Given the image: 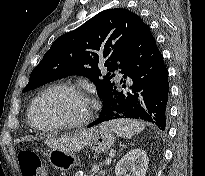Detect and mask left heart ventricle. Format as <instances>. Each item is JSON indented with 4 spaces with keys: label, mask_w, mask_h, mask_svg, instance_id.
<instances>
[{
    "label": "left heart ventricle",
    "mask_w": 205,
    "mask_h": 176,
    "mask_svg": "<svg viewBox=\"0 0 205 176\" xmlns=\"http://www.w3.org/2000/svg\"><path fill=\"white\" fill-rule=\"evenodd\" d=\"M84 111V103L78 96L68 91H54L37 103L34 119L42 126L72 122L81 118Z\"/></svg>",
    "instance_id": "left-heart-ventricle-1"
}]
</instances>
